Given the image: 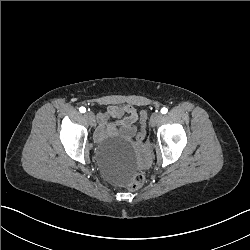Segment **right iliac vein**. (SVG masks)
<instances>
[{
	"label": "right iliac vein",
	"instance_id": "63e3f726",
	"mask_svg": "<svg viewBox=\"0 0 250 250\" xmlns=\"http://www.w3.org/2000/svg\"><path fill=\"white\" fill-rule=\"evenodd\" d=\"M84 117L88 120L91 126L95 124V116L92 112H86Z\"/></svg>",
	"mask_w": 250,
	"mask_h": 250
}]
</instances>
